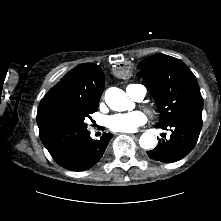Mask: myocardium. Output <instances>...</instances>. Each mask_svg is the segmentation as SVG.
Returning a JSON list of instances; mask_svg holds the SVG:
<instances>
[{"label": "myocardium", "mask_w": 221, "mask_h": 221, "mask_svg": "<svg viewBox=\"0 0 221 221\" xmlns=\"http://www.w3.org/2000/svg\"><path fill=\"white\" fill-rule=\"evenodd\" d=\"M146 110L151 116H153L155 114V111L150 107H147Z\"/></svg>", "instance_id": "obj_1"}]
</instances>
